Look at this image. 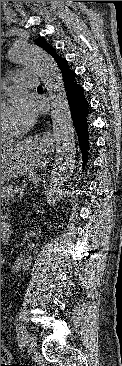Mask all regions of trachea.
I'll list each match as a JSON object with an SVG mask.
<instances>
[{
    "label": "trachea",
    "instance_id": "trachea-1",
    "mask_svg": "<svg viewBox=\"0 0 122 366\" xmlns=\"http://www.w3.org/2000/svg\"><path fill=\"white\" fill-rule=\"evenodd\" d=\"M38 88H39V89H41V88H42V86H39Z\"/></svg>",
    "mask_w": 122,
    "mask_h": 366
}]
</instances>
